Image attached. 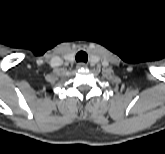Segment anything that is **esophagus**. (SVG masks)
<instances>
[{
	"instance_id": "esophagus-1",
	"label": "esophagus",
	"mask_w": 165,
	"mask_h": 154,
	"mask_svg": "<svg viewBox=\"0 0 165 154\" xmlns=\"http://www.w3.org/2000/svg\"><path fill=\"white\" fill-rule=\"evenodd\" d=\"M77 68L80 69V68H87V64H85L84 62H80L77 64Z\"/></svg>"
}]
</instances>
